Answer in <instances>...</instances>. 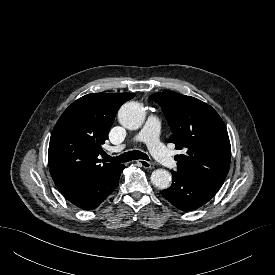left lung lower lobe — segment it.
Segmentation results:
<instances>
[{"label": "left lung lower lobe", "mask_w": 275, "mask_h": 275, "mask_svg": "<svg viewBox=\"0 0 275 275\" xmlns=\"http://www.w3.org/2000/svg\"><path fill=\"white\" fill-rule=\"evenodd\" d=\"M172 185L161 195L181 210H194L208 202L220 189L206 180L171 171Z\"/></svg>", "instance_id": "0a47b994"}]
</instances>
